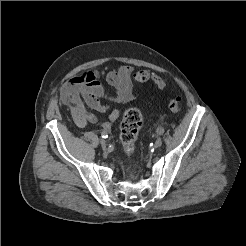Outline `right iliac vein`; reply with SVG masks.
<instances>
[{
	"label": "right iliac vein",
	"instance_id": "obj_1",
	"mask_svg": "<svg viewBox=\"0 0 246 246\" xmlns=\"http://www.w3.org/2000/svg\"><path fill=\"white\" fill-rule=\"evenodd\" d=\"M100 145L102 146V148H106L107 142L104 139H101L100 140Z\"/></svg>",
	"mask_w": 246,
	"mask_h": 246
}]
</instances>
